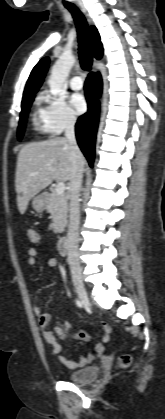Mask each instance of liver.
Segmentation results:
<instances>
[{
  "label": "liver",
  "mask_w": 165,
  "mask_h": 419,
  "mask_svg": "<svg viewBox=\"0 0 165 419\" xmlns=\"http://www.w3.org/2000/svg\"><path fill=\"white\" fill-rule=\"evenodd\" d=\"M82 163L84 166L83 155ZM71 173V150L66 138L55 137L24 145L18 154L15 175L19 212L24 214L30 199L53 180L69 181Z\"/></svg>",
  "instance_id": "1"
}]
</instances>
